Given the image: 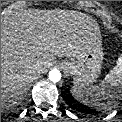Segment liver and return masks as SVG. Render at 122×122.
I'll use <instances>...</instances> for the list:
<instances>
[{
	"label": "liver",
	"mask_w": 122,
	"mask_h": 122,
	"mask_svg": "<svg viewBox=\"0 0 122 122\" xmlns=\"http://www.w3.org/2000/svg\"><path fill=\"white\" fill-rule=\"evenodd\" d=\"M98 23L77 11L27 9L1 17V105L22 96L55 57L101 47Z\"/></svg>",
	"instance_id": "liver-1"
}]
</instances>
